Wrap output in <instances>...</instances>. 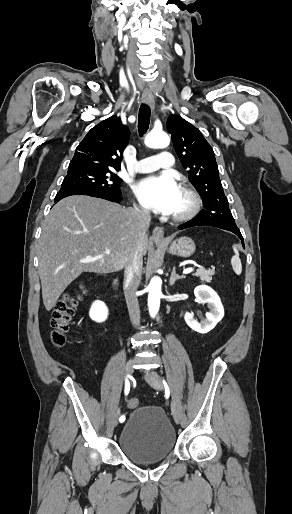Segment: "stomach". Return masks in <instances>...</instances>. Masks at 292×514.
I'll use <instances>...</instances> for the list:
<instances>
[{"mask_svg": "<svg viewBox=\"0 0 292 514\" xmlns=\"http://www.w3.org/2000/svg\"><path fill=\"white\" fill-rule=\"evenodd\" d=\"M156 246H164L165 242H155ZM196 250V246L191 238H178L169 246V254L189 258Z\"/></svg>", "mask_w": 292, "mask_h": 514, "instance_id": "1", "label": "stomach"}]
</instances>
